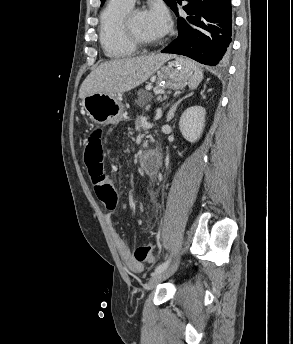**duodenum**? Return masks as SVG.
<instances>
[{
    "label": "duodenum",
    "mask_w": 293,
    "mask_h": 344,
    "mask_svg": "<svg viewBox=\"0 0 293 344\" xmlns=\"http://www.w3.org/2000/svg\"><path fill=\"white\" fill-rule=\"evenodd\" d=\"M151 152H143L138 156V164L141 167H146L148 166L149 163H153L154 164V170H158L160 168L161 165V159L158 156V158L156 160H154L151 157Z\"/></svg>",
    "instance_id": "1"
}]
</instances>
